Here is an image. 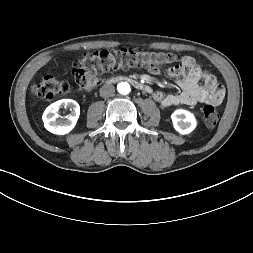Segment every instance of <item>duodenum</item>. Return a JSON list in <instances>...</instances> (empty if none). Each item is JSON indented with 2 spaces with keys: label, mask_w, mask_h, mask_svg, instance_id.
<instances>
[{
  "label": "duodenum",
  "mask_w": 253,
  "mask_h": 253,
  "mask_svg": "<svg viewBox=\"0 0 253 253\" xmlns=\"http://www.w3.org/2000/svg\"><path fill=\"white\" fill-rule=\"evenodd\" d=\"M122 80H127V81L131 82L139 90L151 92L149 87H147L146 85H144L143 83H141L137 79H135L133 77H127V76H115V77H112L108 80H105L103 84H112V83L122 81Z\"/></svg>",
  "instance_id": "1"
}]
</instances>
